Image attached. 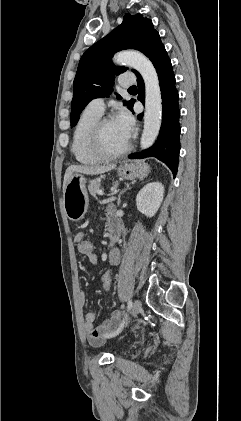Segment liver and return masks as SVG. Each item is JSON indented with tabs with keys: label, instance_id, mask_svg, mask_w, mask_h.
Masks as SVG:
<instances>
[{
	"label": "liver",
	"instance_id": "obj_1",
	"mask_svg": "<svg viewBox=\"0 0 241 421\" xmlns=\"http://www.w3.org/2000/svg\"><path fill=\"white\" fill-rule=\"evenodd\" d=\"M116 167L115 164L103 165V166H83V165H71L66 169L63 181V193L65 188L70 181L71 177L75 173H81L86 175H99L108 172Z\"/></svg>",
	"mask_w": 241,
	"mask_h": 421
}]
</instances>
